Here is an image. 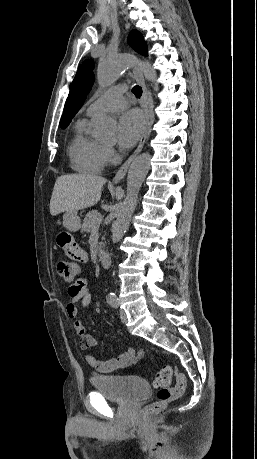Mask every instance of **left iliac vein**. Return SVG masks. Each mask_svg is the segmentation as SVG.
Here are the masks:
<instances>
[{
  "mask_svg": "<svg viewBox=\"0 0 257 459\" xmlns=\"http://www.w3.org/2000/svg\"><path fill=\"white\" fill-rule=\"evenodd\" d=\"M120 319H121L122 323H126L127 322V316H126V313H125L124 310H120Z\"/></svg>",
  "mask_w": 257,
  "mask_h": 459,
  "instance_id": "left-iliac-vein-1",
  "label": "left iliac vein"
}]
</instances>
